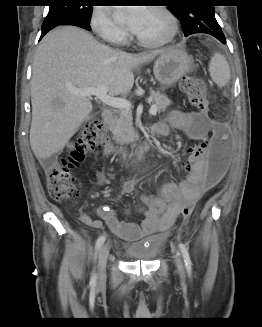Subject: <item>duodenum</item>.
I'll use <instances>...</instances> for the list:
<instances>
[{
    "label": "duodenum",
    "mask_w": 262,
    "mask_h": 327,
    "mask_svg": "<svg viewBox=\"0 0 262 327\" xmlns=\"http://www.w3.org/2000/svg\"><path fill=\"white\" fill-rule=\"evenodd\" d=\"M102 121L105 126L110 129L113 123V113L111 110H103ZM157 134L155 132L154 126L149 130V136H153ZM149 149V138H144L142 141L138 143H134L128 147H117L112 142H109L104 147V153L106 155H112L114 153H118L121 156V159L124 162H135L142 158L143 154Z\"/></svg>",
    "instance_id": "1"
}]
</instances>
